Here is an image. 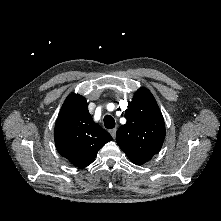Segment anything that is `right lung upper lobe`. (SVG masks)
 <instances>
[{"mask_svg": "<svg viewBox=\"0 0 221 221\" xmlns=\"http://www.w3.org/2000/svg\"><path fill=\"white\" fill-rule=\"evenodd\" d=\"M54 140L63 157L83 168L93 162L97 152L112 137L93 121L86 99L72 93L61 107L55 123Z\"/></svg>", "mask_w": 221, "mask_h": 221, "instance_id": "obj_1", "label": "right lung upper lobe"}]
</instances>
